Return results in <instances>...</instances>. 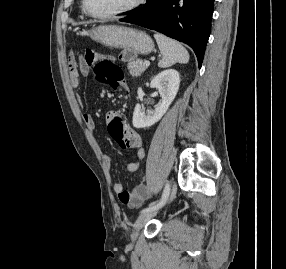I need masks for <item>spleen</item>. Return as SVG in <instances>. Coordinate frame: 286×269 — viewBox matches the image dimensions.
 <instances>
[{"label": "spleen", "mask_w": 286, "mask_h": 269, "mask_svg": "<svg viewBox=\"0 0 286 269\" xmlns=\"http://www.w3.org/2000/svg\"><path fill=\"white\" fill-rule=\"evenodd\" d=\"M154 38L162 54L158 63L160 68H167L175 63H188L189 53L179 42L160 33L154 34Z\"/></svg>", "instance_id": "1"}]
</instances>
